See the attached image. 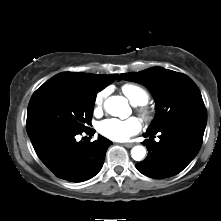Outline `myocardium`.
Listing matches in <instances>:
<instances>
[{
  "label": "myocardium",
  "mask_w": 221,
  "mask_h": 221,
  "mask_svg": "<svg viewBox=\"0 0 221 221\" xmlns=\"http://www.w3.org/2000/svg\"><path fill=\"white\" fill-rule=\"evenodd\" d=\"M138 112H139L140 116L146 121H150L153 118L152 111L146 107H140Z\"/></svg>",
  "instance_id": "myocardium-1"
}]
</instances>
